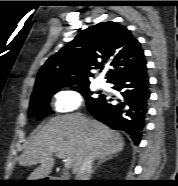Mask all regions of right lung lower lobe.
<instances>
[{
  "label": "right lung lower lobe",
  "mask_w": 178,
  "mask_h": 186,
  "mask_svg": "<svg viewBox=\"0 0 178 186\" xmlns=\"http://www.w3.org/2000/svg\"><path fill=\"white\" fill-rule=\"evenodd\" d=\"M109 83L114 84L113 88L120 92L118 103L112 105L110 102L113 99L100 95L87 105V110L112 129L128 133L134 144L138 145L145 126L150 97L146 61L122 71Z\"/></svg>",
  "instance_id": "right-lung-lower-lobe-1"
}]
</instances>
